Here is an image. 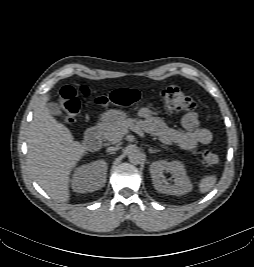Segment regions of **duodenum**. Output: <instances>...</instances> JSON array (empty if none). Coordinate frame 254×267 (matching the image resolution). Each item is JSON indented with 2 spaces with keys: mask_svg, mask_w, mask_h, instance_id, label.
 Returning <instances> with one entry per match:
<instances>
[{
  "mask_svg": "<svg viewBox=\"0 0 254 267\" xmlns=\"http://www.w3.org/2000/svg\"><path fill=\"white\" fill-rule=\"evenodd\" d=\"M101 138H102V126L94 125L86 131L84 142L90 150L96 151L101 146Z\"/></svg>",
  "mask_w": 254,
  "mask_h": 267,
  "instance_id": "410a0bca",
  "label": "duodenum"
}]
</instances>
